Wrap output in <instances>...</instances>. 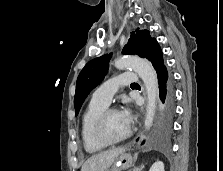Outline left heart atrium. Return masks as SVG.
<instances>
[{
    "label": "left heart atrium",
    "mask_w": 223,
    "mask_h": 171,
    "mask_svg": "<svg viewBox=\"0 0 223 171\" xmlns=\"http://www.w3.org/2000/svg\"><path fill=\"white\" fill-rule=\"evenodd\" d=\"M119 113L121 114L125 122L128 124V126H130L132 120L131 111L129 109H123Z\"/></svg>",
    "instance_id": "obj_1"
}]
</instances>
